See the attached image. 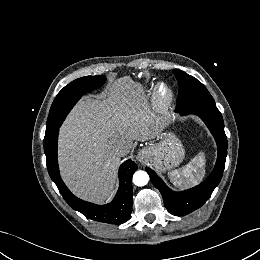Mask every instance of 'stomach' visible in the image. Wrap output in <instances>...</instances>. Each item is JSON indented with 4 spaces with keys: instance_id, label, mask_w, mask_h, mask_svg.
I'll use <instances>...</instances> for the list:
<instances>
[{
    "instance_id": "obj_1",
    "label": "stomach",
    "mask_w": 260,
    "mask_h": 260,
    "mask_svg": "<svg viewBox=\"0 0 260 260\" xmlns=\"http://www.w3.org/2000/svg\"><path fill=\"white\" fill-rule=\"evenodd\" d=\"M148 151L153 165L160 171L179 166L185 156L181 141L172 133H164L162 136H158L155 144L150 146Z\"/></svg>"
}]
</instances>
